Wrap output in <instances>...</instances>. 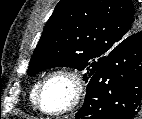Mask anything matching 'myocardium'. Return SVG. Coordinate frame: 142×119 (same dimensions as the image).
<instances>
[{
    "label": "myocardium",
    "instance_id": "1",
    "mask_svg": "<svg viewBox=\"0 0 142 119\" xmlns=\"http://www.w3.org/2000/svg\"><path fill=\"white\" fill-rule=\"evenodd\" d=\"M58 77H63L68 79L73 88L72 98L70 102L62 109L59 110H47L42 106V95L46 85L50 80ZM86 90V84L83 76L74 69L71 68H61L54 70L47 74L37 89L35 95V105L36 107L45 115L50 116H62L74 111L82 102Z\"/></svg>",
    "mask_w": 142,
    "mask_h": 119
}]
</instances>
